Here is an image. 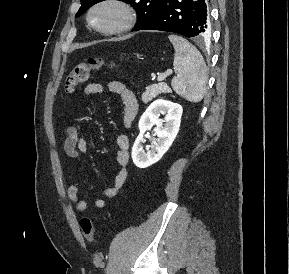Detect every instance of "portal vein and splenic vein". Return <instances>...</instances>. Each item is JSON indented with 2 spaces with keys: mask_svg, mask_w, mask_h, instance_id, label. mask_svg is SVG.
I'll list each match as a JSON object with an SVG mask.
<instances>
[{
  "mask_svg": "<svg viewBox=\"0 0 289 274\" xmlns=\"http://www.w3.org/2000/svg\"><path fill=\"white\" fill-rule=\"evenodd\" d=\"M168 75H169L168 73L160 74V75L157 77V81H158V82L164 81Z\"/></svg>",
  "mask_w": 289,
  "mask_h": 274,
  "instance_id": "1",
  "label": "portal vein and splenic vein"
}]
</instances>
